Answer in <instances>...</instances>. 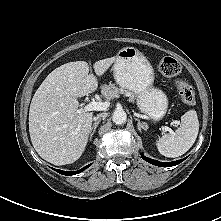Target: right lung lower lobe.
I'll list each match as a JSON object with an SVG mask.
<instances>
[{"mask_svg": "<svg viewBox=\"0 0 221 221\" xmlns=\"http://www.w3.org/2000/svg\"><path fill=\"white\" fill-rule=\"evenodd\" d=\"M90 165L91 164L85 166L84 168H82L79 171H73V172H67V171H62V170H58V169H54V170L59 172L60 174H63V175H75V174H78V173L82 172L83 170L87 169Z\"/></svg>", "mask_w": 221, "mask_h": 221, "instance_id": "obj_1", "label": "right lung lower lobe"}]
</instances>
